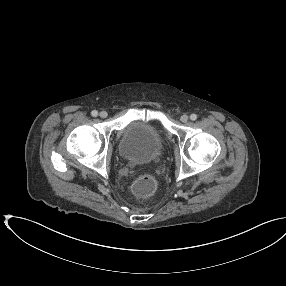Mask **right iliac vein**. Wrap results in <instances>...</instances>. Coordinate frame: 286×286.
<instances>
[{"label":"right iliac vein","instance_id":"obj_1","mask_svg":"<svg viewBox=\"0 0 286 286\" xmlns=\"http://www.w3.org/2000/svg\"><path fill=\"white\" fill-rule=\"evenodd\" d=\"M107 112L106 111H101L100 113H99V116L101 117V118H106L107 117Z\"/></svg>","mask_w":286,"mask_h":286}]
</instances>
